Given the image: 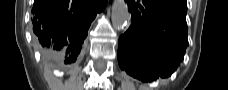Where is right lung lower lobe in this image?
Segmentation results:
<instances>
[{"mask_svg": "<svg viewBox=\"0 0 228 90\" xmlns=\"http://www.w3.org/2000/svg\"><path fill=\"white\" fill-rule=\"evenodd\" d=\"M107 0H35L32 8L34 39L51 55L74 63L88 29Z\"/></svg>", "mask_w": 228, "mask_h": 90, "instance_id": "obj_1", "label": "right lung lower lobe"}]
</instances>
